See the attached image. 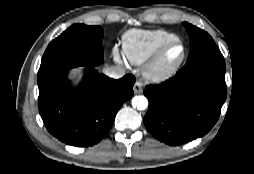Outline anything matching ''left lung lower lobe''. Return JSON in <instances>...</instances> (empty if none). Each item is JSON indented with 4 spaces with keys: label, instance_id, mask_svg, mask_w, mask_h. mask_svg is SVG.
<instances>
[{
    "label": "left lung lower lobe",
    "instance_id": "obj_1",
    "mask_svg": "<svg viewBox=\"0 0 254 174\" xmlns=\"http://www.w3.org/2000/svg\"><path fill=\"white\" fill-rule=\"evenodd\" d=\"M147 130L168 145H181L204 136L219 118L226 100L225 68L203 65L181 68L160 85H148Z\"/></svg>",
    "mask_w": 254,
    "mask_h": 174
}]
</instances>
